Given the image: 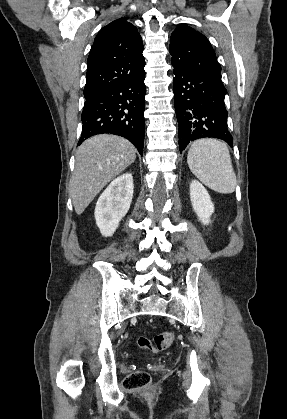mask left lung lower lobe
I'll return each mask as SVG.
<instances>
[{
    "instance_id": "0a47b994",
    "label": "left lung lower lobe",
    "mask_w": 287,
    "mask_h": 419,
    "mask_svg": "<svg viewBox=\"0 0 287 419\" xmlns=\"http://www.w3.org/2000/svg\"><path fill=\"white\" fill-rule=\"evenodd\" d=\"M174 103L179 126V149L200 138H218L230 146L224 97L227 93L220 73L188 72L174 68Z\"/></svg>"
}]
</instances>
